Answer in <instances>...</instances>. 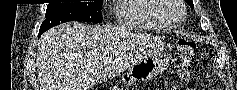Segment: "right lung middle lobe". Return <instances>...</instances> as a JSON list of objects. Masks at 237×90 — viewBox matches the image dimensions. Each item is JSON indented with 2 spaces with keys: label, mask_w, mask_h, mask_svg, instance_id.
Listing matches in <instances>:
<instances>
[{
  "label": "right lung middle lobe",
  "mask_w": 237,
  "mask_h": 90,
  "mask_svg": "<svg viewBox=\"0 0 237 90\" xmlns=\"http://www.w3.org/2000/svg\"><path fill=\"white\" fill-rule=\"evenodd\" d=\"M103 0L95 2L48 4L46 19L42 23L39 36L53 26L67 21L79 20L100 23L102 21L101 7Z\"/></svg>",
  "instance_id": "obj_1"
}]
</instances>
